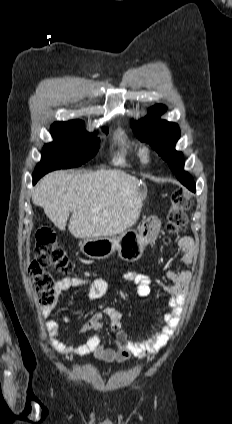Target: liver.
I'll return each instance as SVG.
<instances>
[{
	"mask_svg": "<svg viewBox=\"0 0 232 424\" xmlns=\"http://www.w3.org/2000/svg\"><path fill=\"white\" fill-rule=\"evenodd\" d=\"M145 196L139 180L121 170H58L39 181L32 201L61 231L71 212L68 229L84 239L123 233L139 218Z\"/></svg>",
	"mask_w": 232,
	"mask_h": 424,
	"instance_id": "obj_1",
	"label": "liver"
}]
</instances>
